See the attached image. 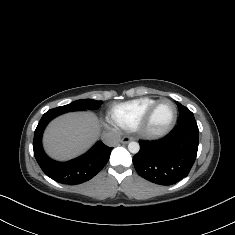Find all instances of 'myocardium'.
Returning a JSON list of instances; mask_svg holds the SVG:
<instances>
[{"instance_id": "myocardium-1", "label": "myocardium", "mask_w": 235, "mask_h": 235, "mask_svg": "<svg viewBox=\"0 0 235 235\" xmlns=\"http://www.w3.org/2000/svg\"><path fill=\"white\" fill-rule=\"evenodd\" d=\"M164 101H168V102L173 104V106L175 108V114H174L173 119L171 120V122L168 124L167 127H165L162 130H159V131H154V130L151 129L152 118H153V115H154V112H155L157 106L161 102H164ZM177 119H178V107H177V104L173 100H171L169 98H165V97L164 98H160V99H157L151 105V107L149 108V110L147 111V113L145 114L143 119L136 125L135 131H136L137 135L140 138L147 139V140L158 139V138H161V137L169 134L172 131V129L174 128V126H175V124L177 122Z\"/></svg>"}]
</instances>
